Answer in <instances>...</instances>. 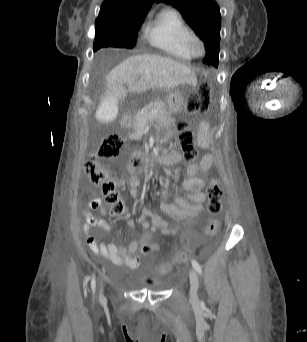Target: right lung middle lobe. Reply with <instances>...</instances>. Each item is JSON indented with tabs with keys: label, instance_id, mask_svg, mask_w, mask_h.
<instances>
[{
	"label": "right lung middle lobe",
	"instance_id": "dd1d6c3e",
	"mask_svg": "<svg viewBox=\"0 0 307 342\" xmlns=\"http://www.w3.org/2000/svg\"><path fill=\"white\" fill-rule=\"evenodd\" d=\"M137 33H114L97 31L94 41V51L103 47L133 48Z\"/></svg>",
	"mask_w": 307,
	"mask_h": 342
}]
</instances>
